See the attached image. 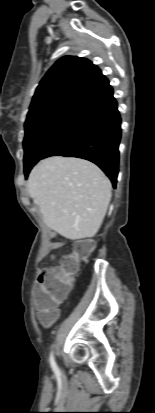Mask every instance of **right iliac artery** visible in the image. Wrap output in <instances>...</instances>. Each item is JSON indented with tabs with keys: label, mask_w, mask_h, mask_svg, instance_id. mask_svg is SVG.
<instances>
[{
	"label": "right iliac artery",
	"mask_w": 155,
	"mask_h": 413,
	"mask_svg": "<svg viewBox=\"0 0 155 413\" xmlns=\"http://www.w3.org/2000/svg\"><path fill=\"white\" fill-rule=\"evenodd\" d=\"M50 364H51V367H52V370L54 371V373L57 375V376H59L60 375V371H59V369H58V367H57V365H56V362H55V360H54V356H53V353L51 352V354H50Z\"/></svg>",
	"instance_id": "1"
}]
</instances>
